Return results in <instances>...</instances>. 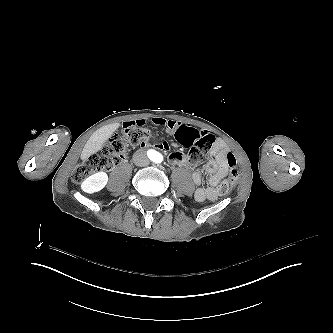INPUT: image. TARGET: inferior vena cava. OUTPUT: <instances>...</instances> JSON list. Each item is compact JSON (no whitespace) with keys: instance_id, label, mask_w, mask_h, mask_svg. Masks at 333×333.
I'll list each match as a JSON object with an SVG mask.
<instances>
[{"instance_id":"obj_1","label":"inferior vena cava","mask_w":333,"mask_h":333,"mask_svg":"<svg viewBox=\"0 0 333 333\" xmlns=\"http://www.w3.org/2000/svg\"><path fill=\"white\" fill-rule=\"evenodd\" d=\"M133 162L136 166L143 167L149 165L150 160L146 152L140 149L133 154Z\"/></svg>"}]
</instances>
